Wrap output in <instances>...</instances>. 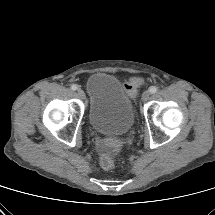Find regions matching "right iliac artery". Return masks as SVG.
Segmentation results:
<instances>
[{"label":"right iliac artery","instance_id":"82829eb1","mask_svg":"<svg viewBox=\"0 0 215 215\" xmlns=\"http://www.w3.org/2000/svg\"><path fill=\"white\" fill-rule=\"evenodd\" d=\"M77 88H78L77 85H75V84L71 85V89H72V90L75 91V90H77Z\"/></svg>","mask_w":215,"mask_h":215}]
</instances>
